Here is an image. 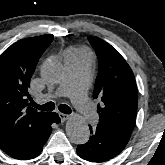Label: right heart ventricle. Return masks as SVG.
I'll return each mask as SVG.
<instances>
[{
  "instance_id": "right-heart-ventricle-1",
  "label": "right heart ventricle",
  "mask_w": 165,
  "mask_h": 165,
  "mask_svg": "<svg viewBox=\"0 0 165 165\" xmlns=\"http://www.w3.org/2000/svg\"><path fill=\"white\" fill-rule=\"evenodd\" d=\"M83 52L81 50H78V49H73V50H70L67 52V55H79V54H82Z\"/></svg>"
}]
</instances>
